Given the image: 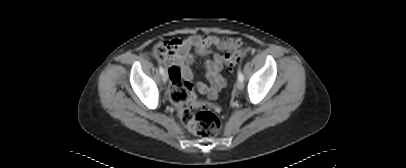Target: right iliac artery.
<instances>
[{"label": "right iliac artery", "mask_w": 406, "mask_h": 168, "mask_svg": "<svg viewBox=\"0 0 406 168\" xmlns=\"http://www.w3.org/2000/svg\"><path fill=\"white\" fill-rule=\"evenodd\" d=\"M159 71H160L161 74L164 72V69H163V67L161 65H159Z\"/></svg>", "instance_id": "right-iliac-artery-1"}]
</instances>
